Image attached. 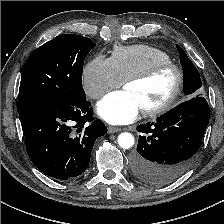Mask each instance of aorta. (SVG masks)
I'll use <instances>...</instances> for the list:
<instances>
[{
    "instance_id": "1",
    "label": "aorta",
    "mask_w": 224,
    "mask_h": 224,
    "mask_svg": "<svg viewBox=\"0 0 224 224\" xmlns=\"http://www.w3.org/2000/svg\"><path fill=\"white\" fill-rule=\"evenodd\" d=\"M118 144L123 149H129L134 145V137L131 133L123 132L118 136Z\"/></svg>"
}]
</instances>
